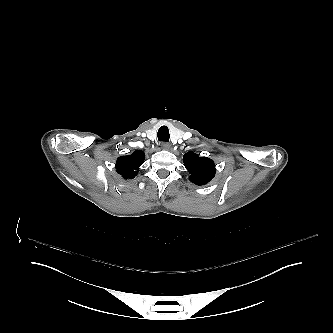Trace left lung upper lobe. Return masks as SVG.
I'll list each match as a JSON object with an SVG mask.
<instances>
[{
    "instance_id": "1",
    "label": "left lung upper lobe",
    "mask_w": 333,
    "mask_h": 333,
    "mask_svg": "<svg viewBox=\"0 0 333 333\" xmlns=\"http://www.w3.org/2000/svg\"><path fill=\"white\" fill-rule=\"evenodd\" d=\"M183 162L189 171V180L196 185H205L215 176V164L207 157H199L190 151L184 154Z\"/></svg>"
}]
</instances>
